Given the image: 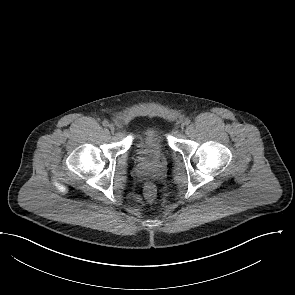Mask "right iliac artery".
<instances>
[{
    "label": "right iliac artery",
    "instance_id": "82829eb1",
    "mask_svg": "<svg viewBox=\"0 0 295 295\" xmlns=\"http://www.w3.org/2000/svg\"><path fill=\"white\" fill-rule=\"evenodd\" d=\"M102 125H103L104 127H107V126H109V122H108L107 120H104V121L102 122Z\"/></svg>",
    "mask_w": 295,
    "mask_h": 295
}]
</instances>
